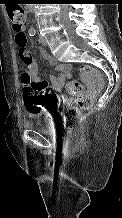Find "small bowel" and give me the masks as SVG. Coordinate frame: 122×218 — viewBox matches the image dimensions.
<instances>
[{"label": "small bowel", "mask_w": 122, "mask_h": 218, "mask_svg": "<svg viewBox=\"0 0 122 218\" xmlns=\"http://www.w3.org/2000/svg\"><path fill=\"white\" fill-rule=\"evenodd\" d=\"M22 31L24 32V28L22 29ZM28 54L29 60L25 61V63L28 64V72L30 73L33 84L37 86L34 94V102L43 110V108L48 104V95L46 91L47 87L50 86L54 91L60 92L62 90L64 82L71 76V66L68 64H60L46 51H41V56L43 57V59H45L49 64L55 67V72L51 75L50 81H46L38 76L37 63L31 57L29 52ZM88 86L92 87L93 85L92 83L88 82ZM61 99L63 102H70L67 97L63 96Z\"/></svg>", "instance_id": "c3829d8e"}]
</instances>
